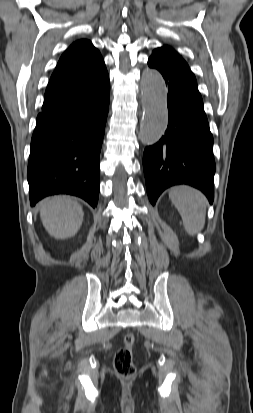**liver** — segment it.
I'll use <instances>...</instances> for the list:
<instances>
[{
  "mask_svg": "<svg viewBox=\"0 0 253 413\" xmlns=\"http://www.w3.org/2000/svg\"><path fill=\"white\" fill-rule=\"evenodd\" d=\"M80 204L67 196H55L40 203V218L46 231L56 239L73 237L83 222Z\"/></svg>",
  "mask_w": 253,
  "mask_h": 413,
  "instance_id": "liver-1",
  "label": "liver"
}]
</instances>
